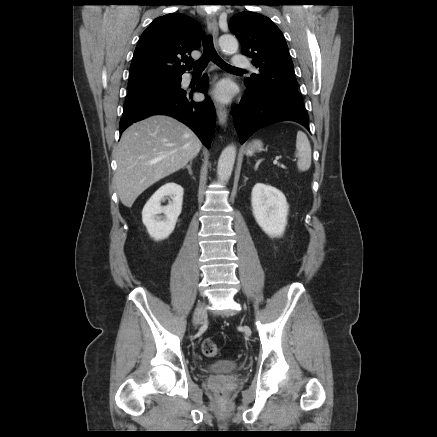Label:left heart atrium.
<instances>
[{
	"label": "left heart atrium",
	"mask_w": 437,
	"mask_h": 437,
	"mask_svg": "<svg viewBox=\"0 0 437 437\" xmlns=\"http://www.w3.org/2000/svg\"><path fill=\"white\" fill-rule=\"evenodd\" d=\"M214 95L218 100L223 102L230 100L232 96L231 86L226 83L218 85L214 90Z\"/></svg>",
	"instance_id": "left-heart-atrium-1"
}]
</instances>
